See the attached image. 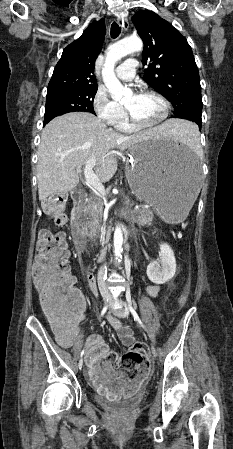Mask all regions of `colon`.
I'll return each instance as SVG.
<instances>
[{"label": "colon", "instance_id": "obj_1", "mask_svg": "<svg viewBox=\"0 0 233 449\" xmlns=\"http://www.w3.org/2000/svg\"><path fill=\"white\" fill-rule=\"evenodd\" d=\"M67 198L55 196L44 203V211L56 225L66 222L64 210ZM39 254L33 268L35 286L40 292L42 306L48 318L55 324L72 322L80 316L84 298L76 288L74 278L68 265L69 252L64 235L45 229L40 234L38 243ZM184 299L182 300L183 303ZM147 346L137 342L134 349L124 354L120 367L131 375L135 368H145L147 361L144 353Z\"/></svg>", "mask_w": 233, "mask_h": 449}]
</instances>
